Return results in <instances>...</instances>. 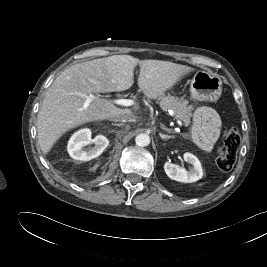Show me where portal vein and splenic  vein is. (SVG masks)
<instances>
[{
	"label": "portal vein and splenic vein",
	"mask_w": 267,
	"mask_h": 267,
	"mask_svg": "<svg viewBox=\"0 0 267 267\" xmlns=\"http://www.w3.org/2000/svg\"><path fill=\"white\" fill-rule=\"evenodd\" d=\"M94 99H102V98L100 97V95H98V96H91L90 98H88V101H92ZM111 102H113V103H115L117 105H122V106H132V105H135L134 100L124 99V98L114 99ZM177 124L179 126H182L183 125L182 122L180 120H178V119H177Z\"/></svg>",
	"instance_id": "portal-vein-and-splenic-vein-1"
}]
</instances>
